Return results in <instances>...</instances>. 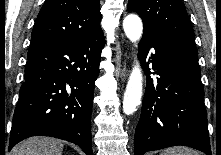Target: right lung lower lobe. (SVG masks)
Wrapping results in <instances>:
<instances>
[{"instance_id":"right-lung-lower-lobe-1","label":"right lung lower lobe","mask_w":221,"mask_h":155,"mask_svg":"<svg viewBox=\"0 0 221 155\" xmlns=\"http://www.w3.org/2000/svg\"><path fill=\"white\" fill-rule=\"evenodd\" d=\"M103 32L77 40L31 44L9 151L30 136H52L92 155L91 111Z\"/></svg>"}]
</instances>
